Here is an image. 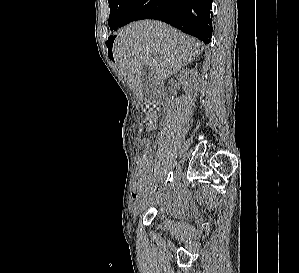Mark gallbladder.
Segmentation results:
<instances>
[{
  "label": "gallbladder",
  "instance_id": "gallbladder-1",
  "mask_svg": "<svg viewBox=\"0 0 299 273\" xmlns=\"http://www.w3.org/2000/svg\"><path fill=\"white\" fill-rule=\"evenodd\" d=\"M156 81L155 72L152 67L145 65L141 70V87L146 98H153L154 84Z\"/></svg>",
  "mask_w": 299,
  "mask_h": 273
}]
</instances>
